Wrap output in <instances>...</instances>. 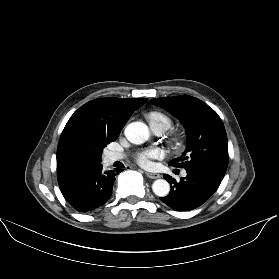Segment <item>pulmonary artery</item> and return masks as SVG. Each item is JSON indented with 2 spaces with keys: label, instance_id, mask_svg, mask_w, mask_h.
<instances>
[{
  "label": "pulmonary artery",
  "instance_id": "1",
  "mask_svg": "<svg viewBox=\"0 0 279 279\" xmlns=\"http://www.w3.org/2000/svg\"><path fill=\"white\" fill-rule=\"evenodd\" d=\"M151 128L158 135L162 134L165 131L162 127L151 126ZM122 158H123V154L118 153V152H110L106 156V160H107L108 163L115 162V161L120 160ZM182 176H186V172L185 171L182 172Z\"/></svg>",
  "mask_w": 279,
  "mask_h": 279
}]
</instances>
